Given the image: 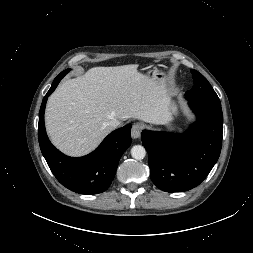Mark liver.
Segmentation results:
<instances>
[{"label": "liver", "instance_id": "obj_1", "mask_svg": "<svg viewBox=\"0 0 253 253\" xmlns=\"http://www.w3.org/2000/svg\"><path fill=\"white\" fill-rule=\"evenodd\" d=\"M138 67H93L62 83L49 97L45 111L51 142L67 155L83 156L112 131L111 120L165 124L171 96L163 81L140 73Z\"/></svg>", "mask_w": 253, "mask_h": 253}]
</instances>
